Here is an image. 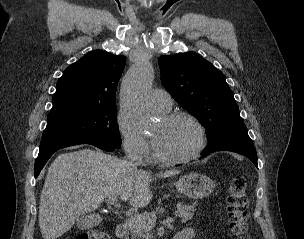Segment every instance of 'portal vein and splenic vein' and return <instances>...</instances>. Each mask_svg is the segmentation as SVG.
<instances>
[{"label": "portal vein and splenic vein", "mask_w": 304, "mask_h": 239, "mask_svg": "<svg viewBox=\"0 0 304 239\" xmlns=\"http://www.w3.org/2000/svg\"><path fill=\"white\" fill-rule=\"evenodd\" d=\"M117 201H118V197H117L116 195L110 196V197L108 198V200H107L108 204H110V205H115V206L117 205ZM126 216L129 218L130 221H134V220H135V217H136V216H134V215L131 214V213H126ZM173 220H174L173 218L169 217V218H167L166 220H164V221L162 222V224H163V225L170 224V223L173 222ZM148 225H149L151 228H153V227L155 226V219H154V220H150V221L148 222Z\"/></svg>", "instance_id": "portal-vein-and-splenic-vein-1"}]
</instances>
